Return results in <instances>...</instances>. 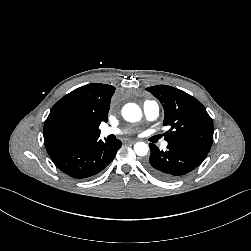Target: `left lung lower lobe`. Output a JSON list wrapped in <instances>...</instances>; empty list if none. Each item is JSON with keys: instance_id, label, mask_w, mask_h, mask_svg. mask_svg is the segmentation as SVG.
Here are the masks:
<instances>
[{"instance_id": "left-lung-lower-lobe-1", "label": "left lung lower lobe", "mask_w": 251, "mask_h": 251, "mask_svg": "<svg viewBox=\"0 0 251 251\" xmlns=\"http://www.w3.org/2000/svg\"><path fill=\"white\" fill-rule=\"evenodd\" d=\"M151 155L146 162L147 170L164 181H173L195 169L208 152L189 145L168 143L166 151L150 143Z\"/></svg>"}]
</instances>
